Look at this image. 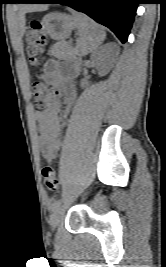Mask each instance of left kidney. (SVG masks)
<instances>
[{
  "instance_id": "obj_1",
  "label": "left kidney",
  "mask_w": 166,
  "mask_h": 267,
  "mask_svg": "<svg viewBox=\"0 0 166 267\" xmlns=\"http://www.w3.org/2000/svg\"><path fill=\"white\" fill-rule=\"evenodd\" d=\"M92 60L98 70V74L100 77L107 75L113 65V59L108 54L106 48H103L100 51L94 53L92 55Z\"/></svg>"
}]
</instances>
